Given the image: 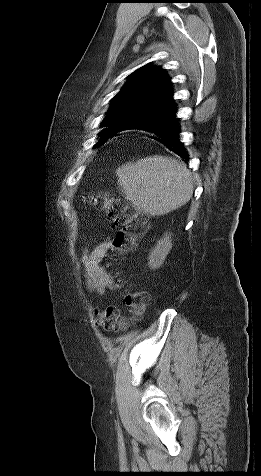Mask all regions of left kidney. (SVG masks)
I'll list each match as a JSON object with an SVG mask.
<instances>
[{"label": "left kidney", "instance_id": "left-kidney-1", "mask_svg": "<svg viewBox=\"0 0 261 476\" xmlns=\"http://www.w3.org/2000/svg\"><path fill=\"white\" fill-rule=\"evenodd\" d=\"M172 249V240L171 234H165L159 241H157L156 246L153 248L148 257V265L152 269L159 268L170 250Z\"/></svg>", "mask_w": 261, "mask_h": 476}]
</instances>
